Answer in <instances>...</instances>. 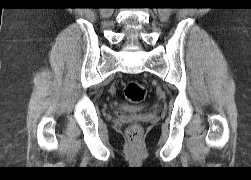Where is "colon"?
Returning a JSON list of instances; mask_svg holds the SVG:
<instances>
[{
    "label": "colon",
    "instance_id": "obj_1",
    "mask_svg": "<svg viewBox=\"0 0 251 180\" xmlns=\"http://www.w3.org/2000/svg\"><path fill=\"white\" fill-rule=\"evenodd\" d=\"M124 96L132 103H140L146 97V88L137 81H129L124 85ZM129 139L136 142L140 138V128L138 125L133 124L127 130Z\"/></svg>",
    "mask_w": 251,
    "mask_h": 180
}]
</instances>
